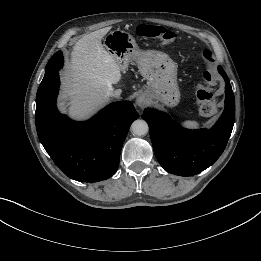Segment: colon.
Segmentation results:
<instances>
[{
    "label": "colon",
    "instance_id": "colon-1",
    "mask_svg": "<svg viewBox=\"0 0 261 261\" xmlns=\"http://www.w3.org/2000/svg\"><path fill=\"white\" fill-rule=\"evenodd\" d=\"M137 34L156 39L163 45H170L176 39V34L164 27L152 25H140ZM201 58L206 64V71L198 77L197 99L200 103V111L205 116H212L217 112V104L213 98L215 77L211 65L213 62L212 54L209 50L202 51Z\"/></svg>",
    "mask_w": 261,
    "mask_h": 261
}]
</instances>
